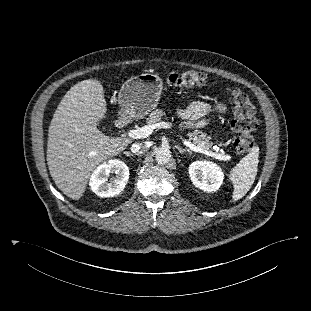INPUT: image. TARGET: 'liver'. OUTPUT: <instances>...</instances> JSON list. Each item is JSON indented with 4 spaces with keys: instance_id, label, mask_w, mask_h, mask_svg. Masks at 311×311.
<instances>
[{
    "instance_id": "obj_1",
    "label": "liver",
    "mask_w": 311,
    "mask_h": 311,
    "mask_svg": "<svg viewBox=\"0 0 311 311\" xmlns=\"http://www.w3.org/2000/svg\"><path fill=\"white\" fill-rule=\"evenodd\" d=\"M106 111L103 85L87 79L67 91L53 115L47 164L56 186L71 199L82 197L97 165L132 142L129 138L106 136L97 128Z\"/></svg>"
}]
</instances>
